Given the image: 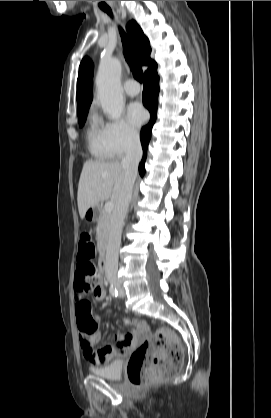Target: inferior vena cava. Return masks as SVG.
<instances>
[{
  "instance_id": "1",
  "label": "inferior vena cava",
  "mask_w": 271,
  "mask_h": 418,
  "mask_svg": "<svg viewBox=\"0 0 271 418\" xmlns=\"http://www.w3.org/2000/svg\"><path fill=\"white\" fill-rule=\"evenodd\" d=\"M142 158V147L138 134L132 135L122 159L125 168L124 187L111 217L110 235L106 250V260L104 263L107 280L117 283L118 252L121 244V233L124 219L132 197L133 185L138 173V164Z\"/></svg>"
}]
</instances>
